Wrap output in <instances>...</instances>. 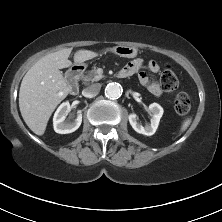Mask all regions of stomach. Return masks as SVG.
Returning a JSON list of instances; mask_svg holds the SVG:
<instances>
[{"instance_id": "stomach-1", "label": "stomach", "mask_w": 222, "mask_h": 222, "mask_svg": "<svg viewBox=\"0 0 222 222\" xmlns=\"http://www.w3.org/2000/svg\"><path fill=\"white\" fill-rule=\"evenodd\" d=\"M113 52L119 55L120 57L134 58L137 56L138 50L135 47L120 45L113 48ZM76 64L84 67L86 66L84 62H79Z\"/></svg>"}]
</instances>
